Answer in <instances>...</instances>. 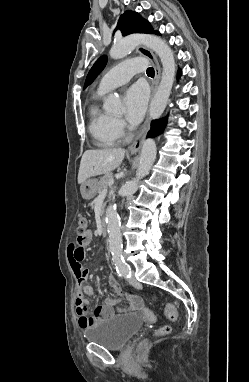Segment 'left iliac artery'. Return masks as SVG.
I'll list each match as a JSON object with an SVG mask.
<instances>
[{
	"instance_id": "left-iliac-artery-1",
	"label": "left iliac artery",
	"mask_w": 249,
	"mask_h": 382,
	"mask_svg": "<svg viewBox=\"0 0 249 382\" xmlns=\"http://www.w3.org/2000/svg\"><path fill=\"white\" fill-rule=\"evenodd\" d=\"M112 255H113V262L116 265L117 273L124 278H130L131 277V268L125 262L121 252L115 251L112 253Z\"/></svg>"
}]
</instances>
